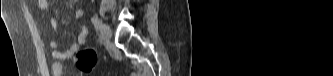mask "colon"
I'll return each mask as SVG.
<instances>
[{
  "label": "colon",
  "mask_w": 333,
  "mask_h": 76,
  "mask_svg": "<svg viewBox=\"0 0 333 76\" xmlns=\"http://www.w3.org/2000/svg\"><path fill=\"white\" fill-rule=\"evenodd\" d=\"M76 67L84 74L90 73L96 63H97V54L93 49H84L81 50L75 58ZM136 76L137 74H133Z\"/></svg>",
  "instance_id": "5ec220e1"
}]
</instances>
